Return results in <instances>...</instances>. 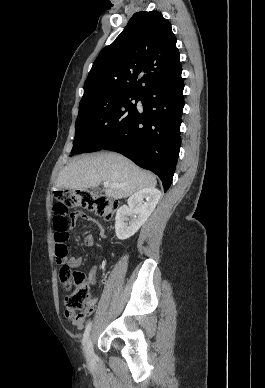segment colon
Segmentation results:
<instances>
[{
    "label": "colon",
    "instance_id": "obj_1",
    "mask_svg": "<svg viewBox=\"0 0 265 388\" xmlns=\"http://www.w3.org/2000/svg\"><path fill=\"white\" fill-rule=\"evenodd\" d=\"M76 206H81L102 218L109 219L117 210L118 203L108 196L92 191L58 190L55 192L53 205L55 259L58 264L62 265L60 271L62 282L71 290L64 299L65 316L74 325L84 317L85 310L82 311V309L90 297L85 275L80 271H71L69 265L66 264L68 256L66 241L71 217L69 209Z\"/></svg>",
    "mask_w": 265,
    "mask_h": 388
}]
</instances>
